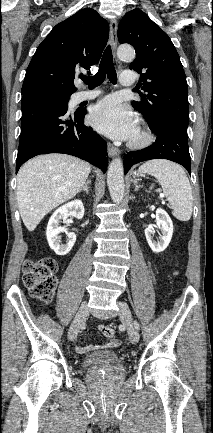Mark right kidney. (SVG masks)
<instances>
[{"instance_id": "ca27d5eb", "label": "right kidney", "mask_w": 213, "mask_h": 433, "mask_svg": "<svg viewBox=\"0 0 213 433\" xmlns=\"http://www.w3.org/2000/svg\"><path fill=\"white\" fill-rule=\"evenodd\" d=\"M69 216L82 219L84 216V206L81 200H74L67 204H64L58 208L50 217L47 229L46 237L48 244L57 255L63 256L68 254L76 241V235L72 232H67L65 226H60V221L63 220L65 223ZM61 232L67 233L66 244H61L59 234Z\"/></svg>"}]
</instances>
